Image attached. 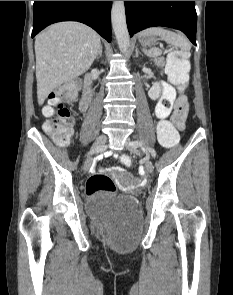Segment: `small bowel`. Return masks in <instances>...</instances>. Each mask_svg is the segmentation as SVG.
<instances>
[{"instance_id":"c3829d8e","label":"small bowel","mask_w":233,"mask_h":295,"mask_svg":"<svg viewBox=\"0 0 233 295\" xmlns=\"http://www.w3.org/2000/svg\"><path fill=\"white\" fill-rule=\"evenodd\" d=\"M161 98L155 107V115L160 121H166L171 115V121L178 130L185 128V119L188 112V100L185 96H177L174 87L167 82H161ZM108 171L123 170L112 167Z\"/></svg>"}]
</instances>
